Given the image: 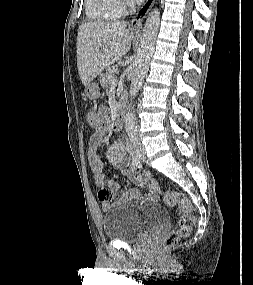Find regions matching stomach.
<instances>
[{"instance_id": "0dacf381", "label": "stomach", "mask_w": 253, "mask_h": 285, "mask_svg": "<svg viewBox=\"0 0 253 285\" xmlns=\"http://www.w3.org/2000/svg\"><path fill=\"white\" fill-rule=\"evenodd\" d=\"M100 95V88L98 83H89L85 88V96L90 99H96Z\"/></svg>"}]
</instances>
